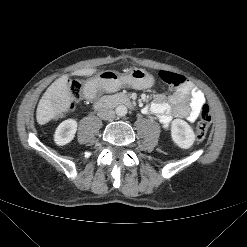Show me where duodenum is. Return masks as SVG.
<instances>
[{
    "instance_id": "1",
    "label": "duodenum",
    "mask_w": 247,
    "mask_h": 247,
    "mask_svg": "<svg viewBox=\"0 0 247 247\" xmlns=\"http://www.w3.org/2000/svg\"><path fill=\"white\" fill-rule=\"evenodd\" d=\"M95 107L98 109H109L116 106H126L133 108L134 104L130 98L125 94H114L103 96L95 101Z\"/></svg>"
}]
</instances>
